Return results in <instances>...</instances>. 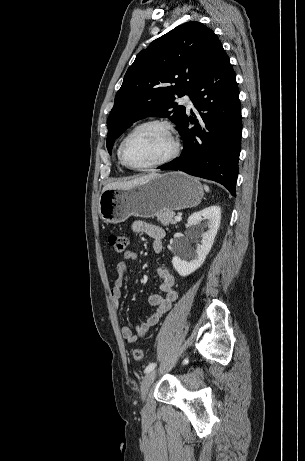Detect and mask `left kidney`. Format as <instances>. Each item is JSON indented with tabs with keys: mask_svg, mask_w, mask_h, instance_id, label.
<instances>
[{
	"mask_svg": "<svg viewBox=\"0 0 305 461\" xmlns=\"http://www.w3.org/2000/svg\"><path fill=\"white\" fill-rule=\"evenodd\" d=\"M220 220L221 208L217 205L209 206L189 216L188 225L198 229L202 240L195 251L188 244H183L179 252L174 255L172 264L180 276H188L202 266L214 243ZM204 228H207L206 232H203ZM186 257L192 259L187 261Z\"/></svg>",
	"mask_w": 305,
	"mask_h": 461,
	"instance_id": "obj_1",
	"label": "left kidney"
}]
</instances>
